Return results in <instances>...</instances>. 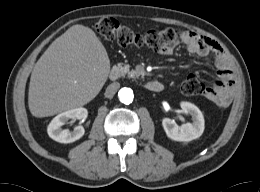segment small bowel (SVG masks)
<instances>
[{"instance_id": "obj_1", "label": "small bowel", "mask_w": 260, "mask_h": 192, "mask_svg": "<svg viewBox=\"0 0 260 192\" xmlns=\"http://www.w3.org/2000/svg\"><path fill=\"white\" fill-rule=\"evenodd\" d=\"M181 42L191 54L201 57L211 54L214 56L217 79L211 86L205 88L203 96L220 107L228 106L235 94L237 82L221 46L194 31H185ZM173 50L174 47L171 46L159 52L163 55H171Z\"/></svg>"}]
</instances>
